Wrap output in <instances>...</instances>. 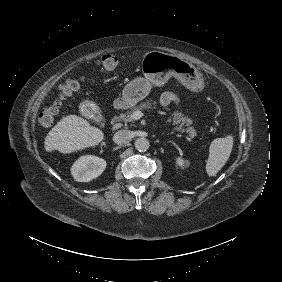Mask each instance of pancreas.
<instances>
[{
    "instance_id": "pancreas-1",
    "label": "pancreas",
    "mask_w": 282,
    "mask_h": 282,
    "mask_svg": "<svg viewBox=\"0 0 282 282\" xmlns=\"http://www.w3.org/2000/svg\"><path fill=\"white\" fill-rule=\"evenodd\" d=\"M151 107V100L147 101L146 103H141L140 105L131 108V110H128L126 113L124 114H120L119 116V120L123 121L125 123L127 122H133L134 119L131 117V115L138 110H143L146 108H150ZM173 118H169L168 122L173 123V125H178L176 126L174 129L177 131H181V132H187L189 134L190 137H194L196 136V131L193 127H191L190 125L193 123L191 119H189L188 117L184 116L181 112L175 111L172 114ZM186 125L187 128L183 129V126Z\"/></svg>"
}]
</instances>
